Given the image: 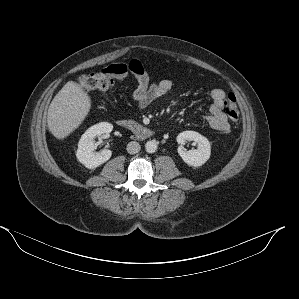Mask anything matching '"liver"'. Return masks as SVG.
Here are the masks:
<instances>
[{
    "label": "liver",
    "instance_id": "6515ba94",
    "mask_svg": "<svg viewBox=\"0 0 299 299\" xmlns=\"http://www.w3.org/2000/svg\"><path fill=\"white\" fill-rule=\"evenodd\" d=\"M91 108L88 94L73 81L53 98L47 114L48 128L57 139L69 136L84 121Z\"/></svg>",
    "mask_w": 299,
    "mask_h": 299
}]
</instances>
